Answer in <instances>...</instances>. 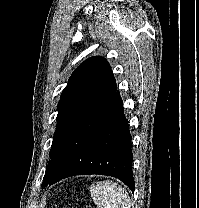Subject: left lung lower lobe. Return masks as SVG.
<instances>
[{"label":"left lung lower lobe","instance_id":"left-lung-lower-lobe-1","mask_svg":"<svg viewBox=\"0 0 199 208\" xmlns=\"http://www.w3.org/2000/svg\"><path fill=\"white\" fill-rule=\"evenodd\" d=\"M132 160L128 120L115 91L71 134L45 185L73 175L102 174L120 179L134 192Z\"/></svg>","mask_w":199,"mask_h":208}]
</instances>
